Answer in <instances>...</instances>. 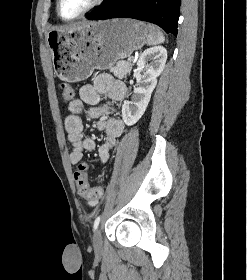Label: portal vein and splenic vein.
<instances>
[{
  "instance_id": "obj_1",
  "label": "portal vein and splenic vein",
  "mask_w": 247,
  "mask_h": 280,
  "mask_svg": "<svg viewBox=\"0 0 247 280\" xmlns=\"http://www.w3.org/2000/svg\"><path fill=\"white\" fill-rule=\"evenodd\" d=\"M133 58H128L129 61H131Z\"/></svg>"
}]
</instances>
